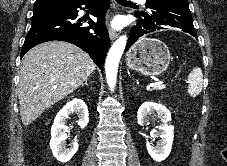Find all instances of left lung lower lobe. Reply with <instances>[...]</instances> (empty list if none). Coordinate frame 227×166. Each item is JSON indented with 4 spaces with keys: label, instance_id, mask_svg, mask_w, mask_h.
<instances>
[{
    "label": "left lung lower lobe",
    "instance_id": "1",
    "mask_svg": "<svg viewBox=\"0 0 227 166\" xmlns=\"http://www.w3.org/2000/svg\"><path fill=\"white\" fill-rule=\"evenodd\" d=\"M146 7L149 12L135 13L139 19L130 32L125 52L139 37L160 29L175 27L198 37L187 0H147Z\"/></svg>",
    "mask_w": 227,
    "mask_h": 166
}]
</instances>
